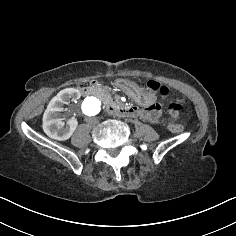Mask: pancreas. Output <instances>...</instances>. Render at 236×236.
I'll return each mask as SVG.
<instances>
[{"instance_id":"1","label":"pancreas","mask_w":236,"mask_h":236,"mask_svg":"<svg viewBox=\"0 0 236 236\" xmlns=\"http://www.w3.org/2000/svg\"><path fill=\"white\" fill-rule=\"evenodd\" d=\"M96 95L104 102H107V100L111 98V95L107 88H99Z\"/></svg>"}]
</instances>
